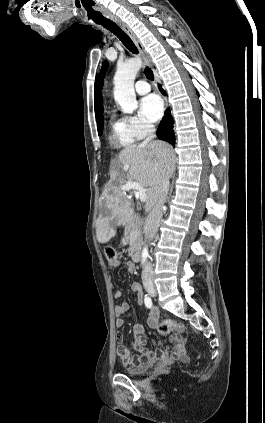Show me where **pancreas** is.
<instances>
[{"instance_id": "cf45deb5", "label": "pancreas", "mask_w": 265, "mask_h": 423, "mask_svg": "<svg viewBox=\"0 0 265 423\" xmlns=\"http://www.w3.org/2000/svg\"><path fill=\"white\" fill-rule=\"evenodd\" d=\"M140 234H141L140 227H136L135 229H133L131 233V237L137 238L140 236Z\"/></svg>"}]
</instances>
